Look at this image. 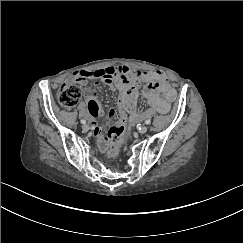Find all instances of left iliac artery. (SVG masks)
Segmentation results:
<instances>
[{
	"mask_svg": "<svg viewBox=\"0 0 243 243\" xmlns=\"http://www.w3.org/2000/svg\"><path fill=\"white\" fill-rule=\"evenodd\" d=\"M151 123V120L150 119H147L146 121H145V124H150Z\"/></svg>",
	"mask_w": 243,
	"mask_h": 243,
	"instance_id": "1",
	"label": "left iliac artery"
}]
</instances>
